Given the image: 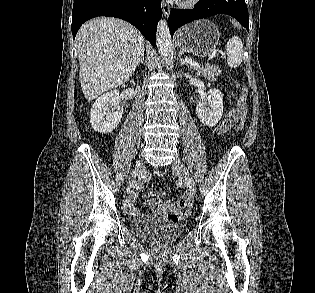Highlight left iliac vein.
Listing matches in <instances>:
<instances>
[{"label": "left iliac vein", "mask_w": 315, "mask_h": 293, "mask_svg": "<svg viewBox=\"0 0 315 293\" xmlns=\"http://www.w3.org/2000/svg\"><path fill=\"white\" fill-rule=\"evenodd\" d=\"M172 169L176 174H178L180 179L183 181L184 186L186 187L188 194L192 195V196L195 195L196 194L195 182H194L191 174L189 173V171L187 170V168L183 164V162L180 160V158H177L174 161V163L172 164Z\"/></svg>", "instance_id": "1"}]
</instances>
